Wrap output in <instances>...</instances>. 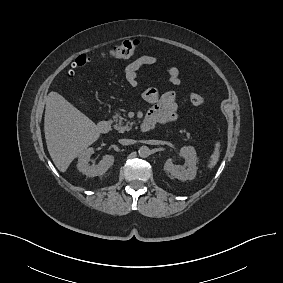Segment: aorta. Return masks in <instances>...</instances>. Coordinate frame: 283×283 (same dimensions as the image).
<instances>
[{"mask_svg": "<svg viewBox=\"0 0 283 283\" xmlns=\"http://www.w3.org/2000/svg\"><path fill=\"white\" fill-rule=\"evenodd\" d=\"M139 156L142 158H146L150 155L151 150L148 146H141L138 150Z\"/></svg>", "mask_w": 283, "mask_h": 283, "instance_id": "762f6f07", "label": "aorta"}]
</instances>
